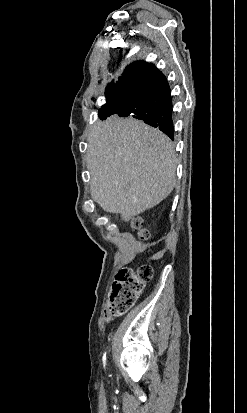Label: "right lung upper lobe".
Segmentation results:
<instances>
[{
	"label": "right lung upper lobe",
	"mask_w": 247,
	"mask_h": 413,
	"mask_svg": "<svg viewBox=\"0 0 247 413\" xmlns=\"http://www.w3.org/2000/svg\"><path fill=\"white\" fill-rule=\"evenodd\" d=\"M151 70H158L155 68L153 64H149L143 61L134 62L131 65L127 66L123 75L119 78V82L117 83H125L128 80L136 75L141 71H151Z\"/></svg>",
	"instance_id": "right-lung-upper-lobe-1"
}]
</instances>
